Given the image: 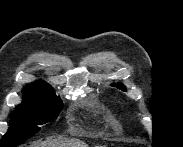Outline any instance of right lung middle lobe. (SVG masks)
<instances>
[{
  "mask_svg": "<svg viewBox=\"0 0 183 147\" xmlns=\"http://www.w3.org/2000/svg\"><path fill=\"white\" fill-rule=\"evenodd\" d=\"M23 101L10 119L9 129L0 140V147H13L40 130L39 125L53 121L63 104L60 97L48 90H23Z\"/></svg>",
  "mask_w": 183,
  "mask_h": 147,
  "instance_id": "right-lung-middle-lobe-1",
  "label": "right lung middle lobe"
}]
</instances>
